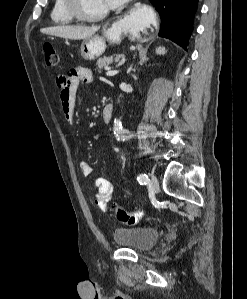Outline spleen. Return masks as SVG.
I'll list each match as a JSON object with an SVG mask.
<instances>
[{
	"label": "spleen",
	"instance_id": "3e777b00",
	"mask_svg": "<svg viewBox=\"0 0 247 299\" xmlns=\"http://www.w3.org/2000/svg\"><path fill=\"white\" fill-rule=\"evenodd\" d=\"M156 53L161 55V54H165L166 53V50L164 47H158L156 48Z\"/></svg>",
	"mask_w": 247,
	"mask_h": 299
}]
</instances>
